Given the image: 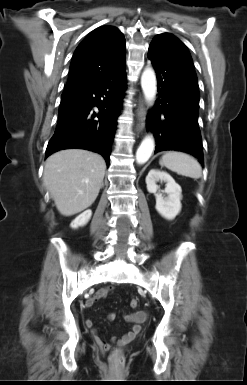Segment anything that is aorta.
Returning a JSON list of instances; mask_svg holds the SVG:
<instances>
[{
	"label": "aorta",
	"instance_id": "aorta-1",
	"mask_svg": "<svg viewBox=\"0 0 247 385\" xmlns=\"http://www.w3.org/2000/svg\"><path fill=\"white\" fill-rule=\"evenodd\" d=\"M141 87L145 96V99L149 106H152L156 93H157V81L156 75L152 68H146L141 76ZM155 148V142L151 135L146 136L141 142L136 152V161L138 164L146 163L151 157Z\"/></svg>",
	"mask_w": 247,
	"mask_h": 385
}]
</instances>
